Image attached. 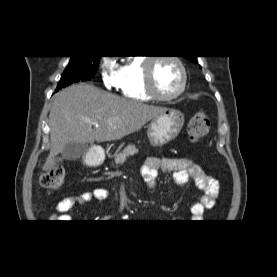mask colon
Listing matches in <instances>:
<instances>
[{
	"label": "colon",
	"instance_id": "colon-1",
	"mask_svg": "<svg viewBox=\"0 0 277 277\" xmlns=\"http://www.w3.org/2000/svg\"><path fill=\"white\" fill-rule=\"evenodd\" d=\"M210 129V122L207 115L198 112L191 116L188 122V136L192 141L204 138ZM65 179V171L61 166H56L40 176V185L45 189H58L62 186Z\"/></svg>",
	"mask_w": 277,
	"mask_h": 277
}]
</instances>
